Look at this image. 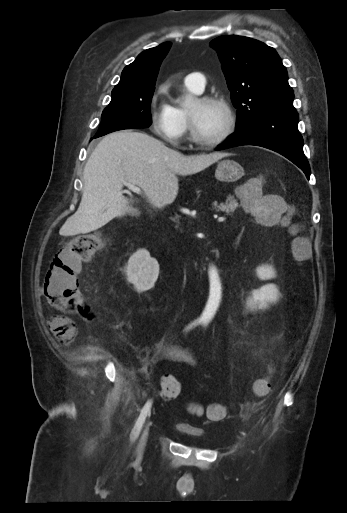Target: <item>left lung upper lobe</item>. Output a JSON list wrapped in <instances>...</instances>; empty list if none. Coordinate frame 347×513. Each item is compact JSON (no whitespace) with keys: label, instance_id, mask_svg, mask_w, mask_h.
I'll list each match as a JSON object with an SVG mask.
<instances>
[{"label":"left lung upper lobe","instance_id":"left-lung-upper-lobe-1","mask_svg":"<svg viewBox=\"0 0 347 513\" xmlns=\"http://www.w3.org/2000/svg\"><path fill=\"white\" fill-rule=\"evenodd\" d=\"M211 46L218 52L237 108V130L265 114L296 111L287 70L272 47L236 35L217 37Z\"/></svg>","mask_w":347,"mask_h":513}]
</instances>
